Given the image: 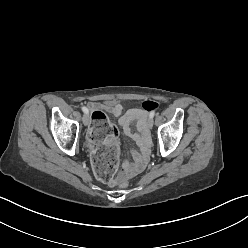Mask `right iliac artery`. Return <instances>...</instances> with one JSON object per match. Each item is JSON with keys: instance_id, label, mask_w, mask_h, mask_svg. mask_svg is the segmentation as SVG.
<instances>
[{"instance_id": "1", "label": "right iliac artery", "mask_w": 248, "mask_h": 248, "mask_svg": "<svg viewBox=\"0 0 248 248\" xmlns=\"http://www.w3.org/2000/svg\"><path fill=\"white\" fill-rule=\"evenodd\" d=\"M81 109H82V111H83L84 113H87V114L89 113V111H88V109H87L86 107H82Z\"/></svg>"}]
</instances>
